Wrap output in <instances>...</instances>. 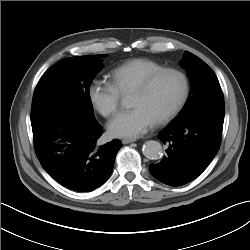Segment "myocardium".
<instances>
[{
	"mask_svg": "<svg viewBox=\"0 0 250 250\" xmlns=\"http://www.w3.org/2000/svg\"><path fill=\"white\" fill-rule=\"evenodd\" d=\"M165 74H175V75L179 76L182 80L183 87H182L181 95L178 98L175 105L166 114H164L162 117H160L156 121L157 125H162V124H165V123L169 122L170 120H172L181 111V109L185 105L187 98H188V95H189V91H190V82H189V78H188L187 74L185 72H183L182 70L177 69V68H162L160 70H157V71L151 73L147 77H145L139 83V85L133 90V92H137V93H146L150 89V87L153 85V83L159 77H161Z\"/></svg>",
	"mask_w": 250,
	"mask_h": 250,
	"instance_id": "myocardium-1",
	"label": "myocardium"
}]
</instances>
